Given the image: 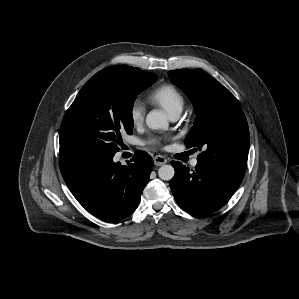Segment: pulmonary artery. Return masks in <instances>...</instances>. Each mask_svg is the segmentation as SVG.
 <instances>
[{"mask_svg":"<svg viewBox=\"0 0 299 299\" xmlns=\"http://www.w3.org/2000/svg\"><path fill=\"white\" fill-rule=\"evenodd\" d=\"M178 116H179V113H175V114L171 115V119L176 120L178 118ZM196 165H197V159H193L191 161V166L195 167Z\"/></svg>","mask_w":299,"mask_h":299,"instance_id":"e3ab8cb5","label":"pulmonary artery"}]
</instances>
